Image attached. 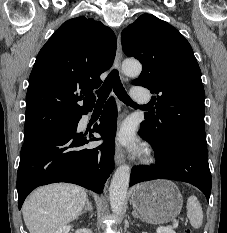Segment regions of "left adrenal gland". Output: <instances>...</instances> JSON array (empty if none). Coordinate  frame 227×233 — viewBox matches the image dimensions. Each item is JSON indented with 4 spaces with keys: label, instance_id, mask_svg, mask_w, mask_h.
<instances>
[{
    "label": "left adrenal gland",
    "instance_id": "a2214340",
    "mask_svg": "<svg viewBox=\"0 0 227 233\" xmlns=\"http://www.w3.org/2000/svg\"><path fill=\"white\" fill-rule=\"evenodd\" d=\"M132 216H133L134 218H139V216H138V214H137V212H136L135 209H134L133 212H132Z\"/></svg>",
    "mask_w": 227,
    "mask_h": 233
}]
</instances>
